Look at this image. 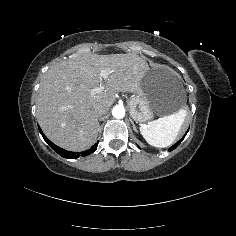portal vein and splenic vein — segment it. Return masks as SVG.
I'll use <instances>...</instances> for the list:
<instances>
[{
  "label": "portal vein and splenic vein",
  "mask_w": 236,
  "mask_h": 236,
  "mask_svg": "<svg viewBox=\"0 0 236 236\" xmlns=\"http://www.w3.org/2000/svg\"><path fill=\"white\" fill-rule=\"evenodd\" d=\"M112 71L109 70V69H105V70H101L100 72V76L103 78V79H108V76L109 74L111 73ZM105 90V87L104 85H100L98 87H95L93 89H91V95H96L98 93H101Z\"/></svg>",
  "instance_id": "1"
}]
</instances>
